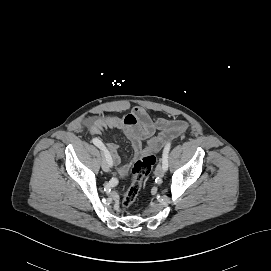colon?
I'll return each mask as SVG.
<instances>
[{
    "label": "colon",
    "mask_w": 271,
    "mask_h": 271,
    "mask_svg": "<svg viewBox=\"0 0 271 271\" xmlns=\"http://www.w3.org/2000/svg\"><path fill=\"white\" fill-rule=\"evenodd\" d=\"M156 162V158L152 153H146L142 155L134 164L132 173L133 178L131 185L127 189L126 193L124 194L122 205L125 208L130 207L135 200L137 199L140 190L142 188L144 179L149 175L151 172L154 164Z\"/></svg>",
    "instance_id": "colon-1"
}]
</instances>
